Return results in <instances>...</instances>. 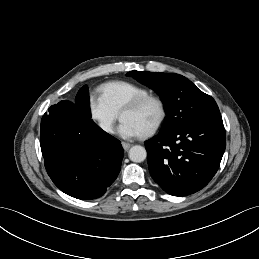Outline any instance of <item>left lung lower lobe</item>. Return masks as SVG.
I'll list each match as a JSON object with an SVG mask.
<instances>
[{
  "label": "left lung lower lobe",
  "mask_w": 259,
  "mask_h": 259,
  "mask_svg": "<svg viewBox=\"0 0 259 259\" xmlns=\"http://www.w3.org/2000/svg\"><path fill=\"white\" fill-rule=\"evenodd\" d=\"M145 146L154 181L170 195L186 196L205 187L217 172L226 133L217 118L160 133Z\"/></svg>",
  "instance_id": "1"
}]
</instances>
